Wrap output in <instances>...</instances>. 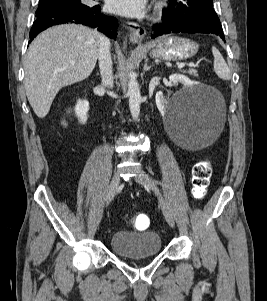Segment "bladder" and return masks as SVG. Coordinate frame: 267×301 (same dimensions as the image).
<instances>
[{"instance_id":"bladder-1","label":"bladder","mask_w":267,"mask_h":301,"mask_svg":"<svg viewBox=\"0 0 267 301\" xmlns=\"http://www.w3.org/2000/svg\"><path fill=\"white\" fill-rule=\"evenodd\" d=\"M112 251L122 259H138L158 255L162 240L154 231L115 232L109 240Z\"/></svg>"}]
</instances>
